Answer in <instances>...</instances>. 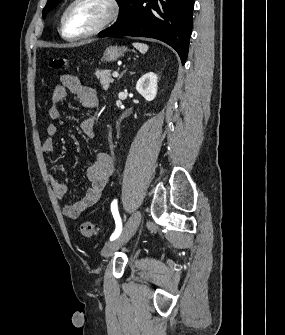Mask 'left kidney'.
I'll return each mask as SVG.
<instances>
[{"instance_id":"left-kidney-1","label":"left kidney","mask_w":285,"mask_h":335,"mask_svg":"<svg viewBox=\"0 0 285 335\" xmlns=\"http://www.w3.org/2000/svg\"><path fill=\"white\" fill-rule=\"evenodd\" d=\"M157 76L153 72H148L144 74L136 84V90L147 100V102H152L156 98L157 94Z\"/></svg>"}]
</instances>
